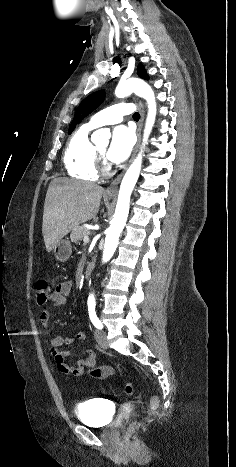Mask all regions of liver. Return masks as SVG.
<instances>
[{"instance_id":"obj_1","label":"liver","mask_w":236,"mask_h":467,"mask_svg":"<svg viewBox=\"0 0 236 467\" xmlns=\"http://www.w3.org/2000/svg\"><path fill=\"white\" fill-rule=\"evenodd\" d=\"M104 189L93 183L55 178L49 185L43 212L42 233L46 250L99 211Z\"/></svg>"}]
</instances>
